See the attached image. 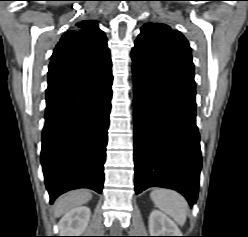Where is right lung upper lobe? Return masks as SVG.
<instances>
[{
    "label": "right lung upper lobe",
    "mask_w": 248,
    "mask_h": 237,
    "mask_svg": "<svg viewBox=\"0 0 248 237\" xmlns=\"http://www.w3.org/2000/svg\"><path fill=\"white\" fill-rule=\"evenodd\" d=\"M112 63L107 39L95 21H81L62 37L51 57L48 87L98 75Z\"/></svg>",
    "instance_id": "obj_1"
}]
</instances>
